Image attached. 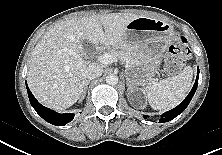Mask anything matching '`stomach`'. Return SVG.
I'll use <instances>...</instances> for the list:
<instances>
[{
	"mask_svg": "<svg viewBox=\"0 0 222 155\" xmlns=\"http://www.w3.org/2000/svg\"><path fill=\"white\" fill-rule=\"evenodd\" d=\"M172 34V25L145 16L136 18L127 26L123 42L135 47L133 62L126 67V79L130 85H140L153 78Z\"/></svg>",
	"mask_w": 222,
	"mask_h": 155,
	"instance_id": "0dacf381",
	"label": "stomach"
}]
</instances>
